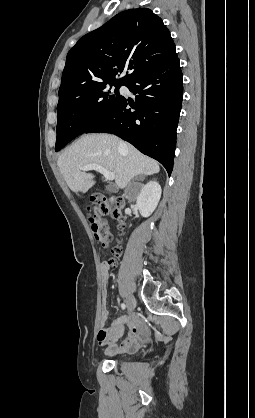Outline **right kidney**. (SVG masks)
Returning <instances> with one entry per match:
<instances>
[{"label":"right kidney","instance_id":"obj_1","mask_svg":"<svg viewBox=\"0 0 255 418\" xmlns=\"http://www.w3.org/2000/svg\"><path fill=\"white\" fill-rule=\"evenodd\" d=\"M161 186L156 181L148 182L137 197V207L143 217H149L161 198Z\"/></svg>","mask_w":255,"mask_h":418}]
</instances>
